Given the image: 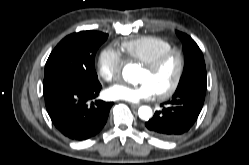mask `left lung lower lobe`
Returning a JSON list of instances; mask_svg holds the SVG:
<instances>
[{"label":"left lung lower lobe","mask_w":249,"mask_h":165,"mask_svg":"<svg viewBox=\"0 0 249 165\" xmlns=\"http://www.w3.org/2000/svg\"><path fill=\"white\" fill-rule=\"evenodd\" d=\"M206 89L190 87L176 92L161 111L145 123L157 138L172 140L187 132L195 123L204 103ZM163 106V104L161 105Z\"/></svg>","instance_id":"obj_1"}]
</instances>
